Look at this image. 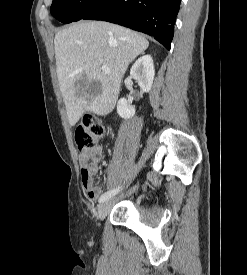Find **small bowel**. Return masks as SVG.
<instances>
[{"instance_id":"small-bowel-1","label":"small bowel","mask_w":247,"mask_h":275,"mask_svg":"<svg viewBox=\"0 0 247 275\" xmlns=\"http://www.w3.org/2000/svg\"><path fill=\"white\" fill-rule=\"evenodd\" d=\"M96 151L98 153V158L95 160H90L85 153L80 155L81 181L88 198L91 200H97L101 195V188L94 185L93 177L97 173L99 162L102 159V149L97 148ZM107 175L108 179L112 180V168L107 170Z\"/></svg>"}]
</instances>
